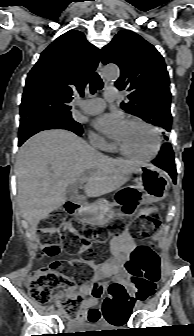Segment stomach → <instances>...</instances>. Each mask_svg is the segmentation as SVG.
<instances>
[{
    "mask_svg": "<svg viewBox=\"0 0 194 336\" xmlns=\"http://www.w3.org/2000/svg\"><path fill=\"white\" fill-rule=\"evenodd\" d=\"M138 174L136 186L120 192L117 201L126 213H134L141 205L158 202L167 196L168 180L153 165L141 163L135 170ZM113 205L98 204L95 207H83L75 212L76 218L84 223L105 225L113 215Z\"/></svg>",
    "mask_w": 194,
    "mask_h": 336,
    "instance_id": "stomach-1",
    "label": "stomach"
}]
</instances>
